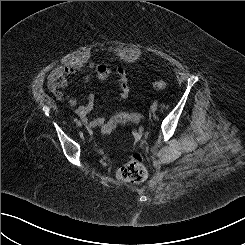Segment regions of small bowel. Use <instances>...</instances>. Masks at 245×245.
I'll list each match as a JSON object with an SVG mask.
<instances>
[{
	"mask_svg": "<svg viewBox=\"0 0 245 245\" xmlns=\"http://www.w3.org/2000/svg\"><path fill=\"white\" fill-rule=\"evenodd\" d=\"M94 70L93 74H87L83 76L84 82H90L94 79L98 81H105L110 75H115L119 84L118 100L124 101L128 98L130 89L126 74L122 68H112L106 64H94L88 65ZM82 69L80 64H69L64 66H58L54 68L48 78V88L53 92L58 101L65 102L74 111V113L81 118L87 128L93 129L101 127L106 123L107 115L103 114L95 118H90L89 114L94 107V94L90 93L84 97L85 104L80 105L78 100L74 97H70L63 92V88L66 85V77L77 74Z\"/></svg>",
	"mask_w": 245,
	"mask_h": 245,
	"instance_id": "obj_1",
	"label": "small bowel"
}]
</instances>
